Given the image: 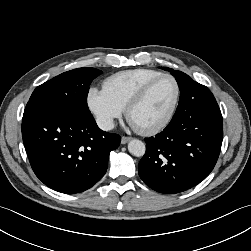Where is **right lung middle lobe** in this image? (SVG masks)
I'll list each match as a JSON object with an SVG mask.
<instances>
[{
  "label": "right lung middle lobe",
  "instance_id": "1",
  "mask_svg": "<svg viewBox=\"0 0 251 251\" xmlns=\"http://www.w3.org/2000/svg\"><path fill=\"white\" fill-rule=\"evenodd\" d=\"M102 72L78 68L62 73L38 86L28 103H40L66 110L80 117L90 115L87 105L89 85Z\"/></svg>",
  "mask_w": 251,
  "mask_h": 251
}]
</instances>
